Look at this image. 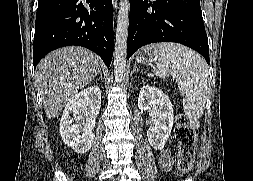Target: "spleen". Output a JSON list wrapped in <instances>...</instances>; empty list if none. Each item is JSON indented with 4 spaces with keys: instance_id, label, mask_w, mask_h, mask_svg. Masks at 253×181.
<instances>
[{
    "instance_id": "1",
    "label": "spleen",
    "mask_w": 253,
    "mask_h": 181,
    "mask_svg": "<svg viewBox=\"0 0 253 181\" xmlns=\"http://www.w3.org/2000/svg\"><path fill=\"white\" fill-rule=\"evenodd\" d=\"M153 62L156 76L176 79L186 116L200 118L208 90V66L204 58L181 44L164 42L155 45Z\"/></svg>"
}]
</instances>
